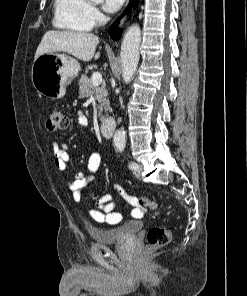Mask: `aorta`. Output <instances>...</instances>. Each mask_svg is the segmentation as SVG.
Here are the masks:
<instances>
[{"mask_svg": "<svg viewBox=\"0 0 247 296\" xmlns=\"http://www.w3.org/2000/svg\"><path fill=\"white\" fill-rule=\"evenodd\" d=\"M94 3H100L103 0H91ZM141 43V29L138 24L129 27L124 35L120 58L122 63V78L125 83H129L137 70L139 61V47ZM126 137L124 130H118L113 137L114 146L122 150L125 147Z\"/></svg>", "mask_w": 247, "mask_h": 296, "instance_id": "aorta-1", "label": "aorta"}]
</instances>
